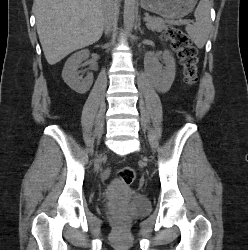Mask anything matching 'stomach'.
<instances>
[{"instance_id":"obj_1","label":"stomach","mask_w":248,"mask_h":250,"mask_svg":"<svg viewBox=\"0 0 248 250\" xmlns=\"http://www.w3.org/2000/svg\"><path fill=\"white\" fill-rule=\"evenodd\" d=\"M197 0H141L142 8L167 19L182 18L195 7Z\"/></svg>"}]
</instances>
